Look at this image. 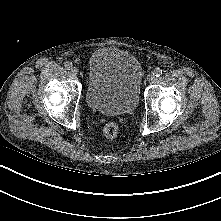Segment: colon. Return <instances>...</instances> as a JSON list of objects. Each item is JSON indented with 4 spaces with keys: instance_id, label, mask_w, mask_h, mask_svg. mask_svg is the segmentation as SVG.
Masks as SVG:
<instances>
[{
    "instance_id": "5ec220e1",
    "label": "colon",
    "mask_w": 221,
    "mask_h": 221,
    "mask_svg": "<svg viewBox=\"0 0 221 221\" xmlns=\"http://www.w3.org/2000/svg\"><path fill=\"white\" fill-rule=\"evenodd\" d=\"M119 133V127L114 122H108L103 127V134L108 139L115 138Z\"/></svg>"
}]
</instances>
